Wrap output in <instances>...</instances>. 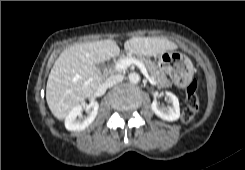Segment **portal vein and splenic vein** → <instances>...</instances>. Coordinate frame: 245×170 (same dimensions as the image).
Returning <instances> with one entry per match:
<instances>
[{"label":"portal vein and splenic vein","mask_w":245,"mask_h":170,"mask_svg":"<svg viewBox=\"0 0 245 170\" xmlns=\"http://www.w3.org/2000/svg\"><path fill=\"white\" fill-rule=\"evenodd\" d=\"M131 64H134L136 65L142 72V74L150 81V82H154V80L149 76L148 74V71L145 67V65L134 59V58H125V59H122L120 61H118L117 63H115V68L117 70H125L127 69Z\"/></svg>","instance_id":"18ae733b"}]
</instances>
